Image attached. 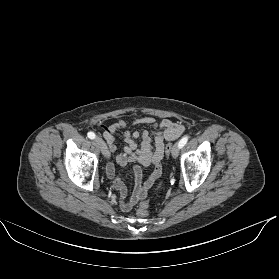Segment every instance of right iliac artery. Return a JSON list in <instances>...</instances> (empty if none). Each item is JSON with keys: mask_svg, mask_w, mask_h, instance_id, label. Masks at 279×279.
Instances as JSON below:
<instances>
[{"mask_svg": "<svg viewBox=\"0 0 279 279\" xmlns=\"http://www.w3.org/2000/svg\"><path fill=\"white\" fill-rule=\"evenodd\" d=\"M87 136L90 139H95V137H96V135L93 132H88Z\"/></svg>", "mask_w": 279, "mask_h": 279, "instance_id": "1", "label": "right iliac artery"}]
</instances>
